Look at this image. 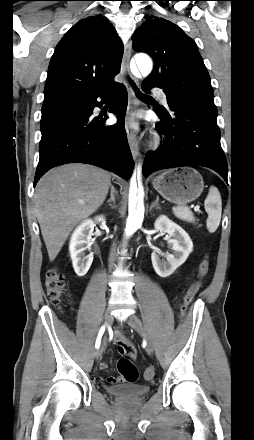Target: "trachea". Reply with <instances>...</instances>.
I'll return each instance as SVG.
<instances>
[{
  "label": "trachea",
  "instance_id": "1",
  "mask_svg": "<svg viewBox=\"0 0 254 440\" xmlns=\"http://www.w3.org/2000/svg\"><path fill=\"white\" fill-rule=\"evenodd\" d=\"M131 85H132L133 88L135 89L136 94H137V96H138L139 98H141V99H151L150 96H147V95L143 94V93L137 88V86L135 85V83H134L133 81H131Z\"/></svg>",
  "mask_w": 254,
  "mask_h": 440
}]
</instances>
